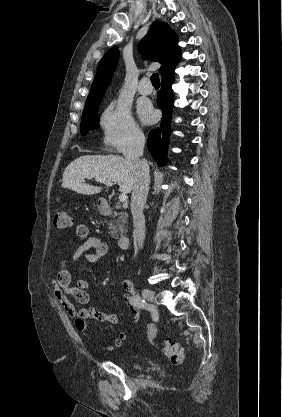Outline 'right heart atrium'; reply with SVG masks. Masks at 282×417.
<instances>
[{
  "mask_svg": "<svg viewBox=\"0 0 282 417\" xmlns=\"http://www.w3.org/2000/svg\"><path fill=\"white\" fill-rule=\"evenodd\" d=\"M101 126L105 143L122 153L136 149L142 141V133L129 109L120 102H112L108 106Z\"/></svg>",
  "mask_w": 282,
  "mask_h": 417,
  "instance_id": "obj_1",
  "label": "right heart atrium"
}]
</instances>
